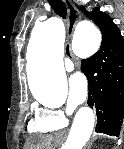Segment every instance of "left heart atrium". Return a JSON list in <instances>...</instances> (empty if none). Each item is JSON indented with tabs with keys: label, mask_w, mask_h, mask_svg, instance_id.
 <instances>
[{
	"label": "left heart atrium",
	"mask_w": 124,
	"mask_h": 149,
	"mask_svg": "<svg viewBox=\"0 0 124 149\" xmlns=\"http://www.w3.org/2000/svg\"><path fill=\"white\" fill-rule=\"evenodd\" d=\"M88 87L85 77L81 74H74L69 79V105L77 107L87 97Z\"/></svg>",
	"instance_id": "39dd6f15"
}]
</instances>
